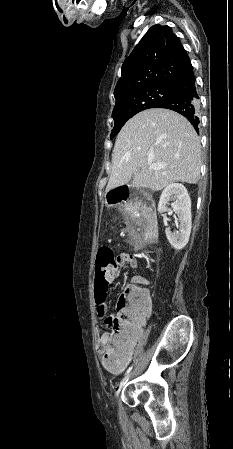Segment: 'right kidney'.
Returning a JSON list of instances; mask_svg holds the SVG:
<instances>
[{
  "label": "right kidney",
  "mask_w": 233,
  "mask_h": 449,
  "mask_svg": "<svg viewBox=\"0 0 233 449\" xmlns=\"http://www.w3.org/2000/svg\"><path fill=\"white\" fill-rule=\"evenodd\" d=\"M169 201H172L171 208L167 207ZM158 211L160 213L168 212V214H173L174 212L177 214L179 231L171 232L170 227H168L165 233L174 249H183L188 243L192 227L191 200L187 189L180 183L168 185L160 196Z\"/></svg>",
  "instance_id": "ca27d5eb"
}]
</instances>
